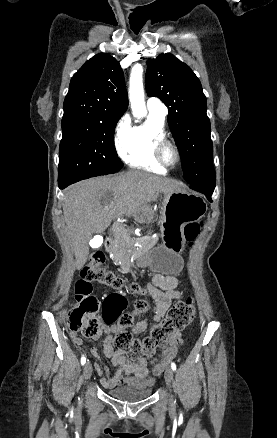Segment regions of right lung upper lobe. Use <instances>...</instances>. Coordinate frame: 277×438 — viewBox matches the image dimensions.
<instances>
[{"mask_svg": "<svg viewBox=\"0 0 277 438\" xmlns=\"http://www.w3.org/2000/svg\"><path fill=\"white\" fill-rule=\"evenodd\" d=\"M128 107L123 71L107 53L88 60L71 79L63 118L118 121Z\"/></svg>", "mask_w": 277, "mask_h": 438, "instance_id": "right-lung-upper-lobe-1", "label": "right lung upper lobe"}]
</instances>
